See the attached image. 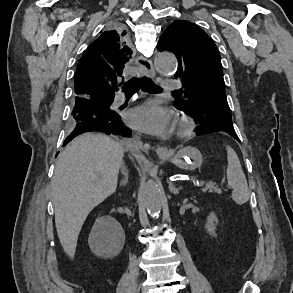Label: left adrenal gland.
Returning <instances> with one entry per match:
<instances>
[{"label":"left adrenal gland","instance_id":"obj_1","mask_svg":"<svg viewBox=\"0 0 293 293\" xmlns=\"http://www.w3.org/2000/svg\"><path fill=\"white\" fill-rule=\"evenodd\" d=\"M181 189H182L181 187L176 188L172 182H169V190L172 194H175V195L179 194V191Z\"/></svg>","mask_w":293,"mask_h":293}]
</instances>
